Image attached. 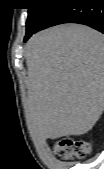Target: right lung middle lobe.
Returning <instances> with one entry per match:
<instances>
[{"label":"right lung middle lobe","instance_id":"obj_1","mask_svg":"<svg viewBox=\"0 0 104 169\" xmlns=\"http://www.w3.org/2000/svg\"><path fill=\"white\" fill-rule=\"evenodd\" d=\"M29 6L26 22L27 33L37 29L55 10L57 4L55 0H29Z\"/></svg>","mask_w":104,"mask_h":169}]
</instances>
